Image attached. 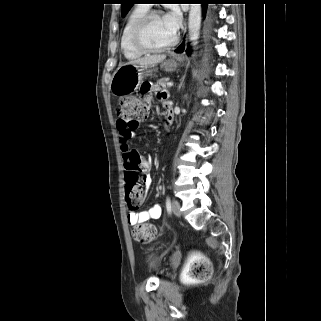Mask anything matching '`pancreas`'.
Masks as SVG:
<instances>
[{
    "mask_svg": "<svg viewBox=\"0 0 321 321\" xmlns=\"http://www.w3.org/2000/svg\"><path fill=\"white\" fill-rule=\"evenodd\" d=\"M168 82L169 78H161L157 81L156 85L165 89L167 87Z\"/></svg>",
    "mask_w": 321,
    "mask_h": 321,
    "instance_id": "cf45deb5",
    "label": "pancreas"
}]
</instances>
